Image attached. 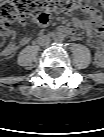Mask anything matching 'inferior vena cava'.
Listing matches in <instances>:
<instances>
[{
    "instance_id": "obj_1",
    "label": "inferior vena cava",
    "mask_w": 104,
    "mask_h": 137,
    "mask_svg": "<svg viewBox=\"0 0 104 137\" xmlns=\"http://www.w3.org/2000/svg\"><path fill=\"white\" fill-rule=\"evenodd\" d=\"M38 43H39V45H41V46H46V45H48V43H49V38H48V36H46V35H41V36H39V38H38Z\"/></svg>"
}]
</instances>
